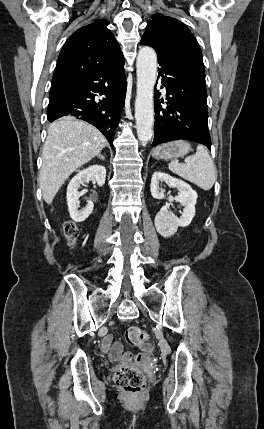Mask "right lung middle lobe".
<instances>
[{
	"instance_id": "right-lung-middle-lobe-1",
	"label": "right lung middle lobe",
	"mask_w": 264,
	"mask_h": 429,
	"mask_svg": "<svg viewBox=\"0 0 264 429\" xmlns=\"http://www.w3.org/2000/svg\"><path fill=\"white\" fill-rule=\"evenodd\" d=\"M59 88H54V89H51L50 90V95L52 94V93H54L56 90H58Z\"/></svg>"
}]
</instances>
